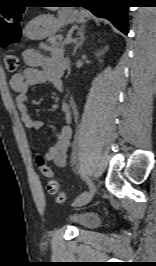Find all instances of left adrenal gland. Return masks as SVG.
I'll list each match as a JSON object with an SVG mask.
<instances>
[{"mask_svg": "<svg viewBox=\"0 0 156 266\" xmlns=\"http://www.w3.org/2000/svg\"><path fill=\"white\" fill-rule=\"evenodd\" d=\"M84 33H85V28H84V27H81V28L79 29V32H78V36H79V38H78V41H77L76 44H75V47H74V50H73V55H75L77 49H78L80 46H82V44L84 43V41H85V39H86V37L84 36Z\"/></svg>", "mask_w": 156, "mask_h": 266, "instance_id": "left-adrenal-gland-1", "label": "left adrenal gland"}]
</instances>
